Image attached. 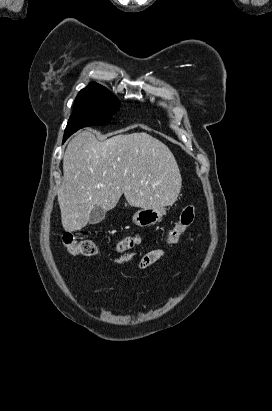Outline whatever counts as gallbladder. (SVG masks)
<instances>
[{
    "label": "gallbladder",
    "mask_w": 272,
    "mask_h": 411,
    "mask_svg": "<svg viewBox=\"0 0 272 411\" xmlns=\"http://www.w3.org/2000/svg\"><path fill=\"white\" fill-rule=\"evenodd\" d=\"M106 211L100 206H95L89 216V224H98L105 218Z\"/></svg>",
    "instance_id": "obj_1"
}]
</instances>
